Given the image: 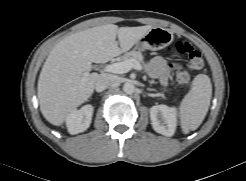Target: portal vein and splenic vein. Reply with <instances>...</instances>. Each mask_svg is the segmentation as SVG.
Returning a JSON list of instances; mask_svg holds the SVG:
<instances>
[{
  "instance_id": "portal-vein-and-splenic-vein-1",
  "label": "portal vein and splenic vein",
  "mask_w": 246,
  "mask_h": 181,
  "mask_svg": "<svg viewBox=\"0 0 246 181\" xmlns=\"http://www.w3.org/2000/svg\"><path fill=\"white\" fill-rule=\"evenodd\" d=\"M131 69L141 70L142 66L135 60L130 59L122 62H116L110 65H107L104 68L105 72L114 73V74H123L129 72ZM86 76L88 73L85 74Z\"/></svg>"
}]
</instances>
